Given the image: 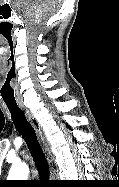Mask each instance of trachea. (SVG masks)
<instances>
[{
    "mask_svg": "<svg viewBox=\"0 0 119 187\" xmlns=\"http://www.w3.org/2000/svg\"><path fill=\"white\" fill-rule=\"evenodd\" d=\"M7 107L11 113V118L15 124L16 129L23 136L28 145L39 175L44 179H48L49 165L38 142L34 128L27 121L24 112L19 108L18 105L7 104Z\"/></svg>",
    "mask_w": 119,
    "mask_h": 187,
    "instance_id": "trachea-1",
    "label": "trachea"
}]
</instances>
